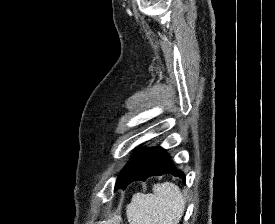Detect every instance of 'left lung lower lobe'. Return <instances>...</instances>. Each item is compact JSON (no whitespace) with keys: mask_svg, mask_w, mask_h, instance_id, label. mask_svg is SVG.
<instances>
[{"mask_svg":"<svg viewBox=\"0 0 275 224\" xmlns=\"http://www.w3.org/2000/svg\"><path fill=\"white\" fill-rule=\"evenodd\" d=\"M166 173L180 177L185 183L184 173L171 164L166 150L161 147L143 149L138 153L127 172L117 180L115 190L125 188L136 180L145 181L150 176Z\"/></svg>","mask_w":275,"mask_h":224,"instance_id":"1","label":"left lung lower lobe"}]
</instances>
